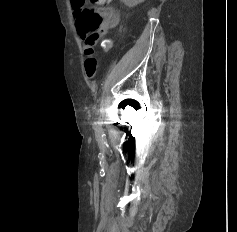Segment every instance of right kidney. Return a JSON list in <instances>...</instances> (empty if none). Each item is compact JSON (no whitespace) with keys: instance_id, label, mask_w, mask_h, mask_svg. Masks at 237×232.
<instances>
[{"instance_id":"right-kidney-1","label":"right kidney","mask_w":237,"mask_h":232,"mask_svg":"<svg viewBox=\"0 0 237 232\" xmlns=\"http://www.w3.org/2000/svg\"><path fill=\"white\" fill-rule=\"evenodd\" d=\"M126 6L132 8L137 6L138 4L144 2L145 0H121Z\"/></svg>"}]
</instances>
